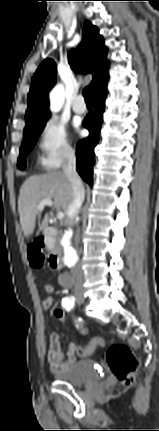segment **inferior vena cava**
Wrapping results in <instances>:
<instances>
[{"mask_svg":"<svg viewBox=\"0 0 159 431\" xmlns=\"http://www.w3.org/2000/svg\"><path fill=\"white\" fill-rule=\"evenodd\" d=\"M63 172L65 173L72 185V201L67 209V226L70 227L76 224V217L85 197L84 186L76 171V156L73 149L68 150L65 155V159L63 162ZM79 241V235L76 231L74 235V244L77 248ZM78 252L80 253L81 251L78 250ZM72 274L75 280L74 290L75 292H80L82 290L83 273L79 265L73 268Z\"/></svg>","mask_w":159,"mask_h":431,"instance_id":"obj_1","label":"inferior vena cava"}]
</instances>
